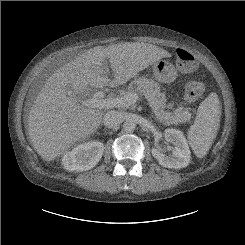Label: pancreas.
<instances>
[{"label":"pancreas","mask_w":245,"mask_h":245,"mask_svg":"<svg viewBox=\"0 0 245 245\" xmlns=\"http://www.w3.org/2000/svg\"><path fill=\"white\" fill-rule=\"evenodd\" d=\"M136 92L145 95L158 121L164 125H177L190 120L188 109H176L173 112L165 111L166 96L160 92V86L153 80L144 77L135 78L128 86L126 94Z\"/></svg>","instance_id":"1"}]
</instances>
